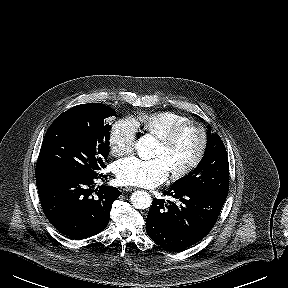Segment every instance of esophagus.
I'll return each mask as SVG.
<instances>
[{"mask_svg":"<svg viewBox=\"0 0 288 288\" xmlns=\"http://www.w3.org/2000/svg\"><path fill=\"white\" fill-rule=\"evenodd\" d=\"M134 190H136V187L127 186V187L123 188V191H126V192H130V191H134Z\"/></svg>","mask_w":288,"mask_h":288,"instance_id":"1","label":"esophagus"}]
</instances>
